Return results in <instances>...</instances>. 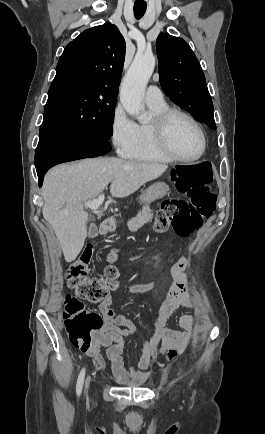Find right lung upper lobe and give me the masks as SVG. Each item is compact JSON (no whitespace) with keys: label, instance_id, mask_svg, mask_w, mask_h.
Instances as JSON below:
<instances>
[{"label":"right lung upper lobe","instance_id":"1","mask_svg":"<svg viewBox=\"0 0 265 434\" xmlns=\"http://www.w3.org/2000/svg\"><path fill=\"white\" fill-rule=\"evenodd\" d=\"M125 49V40L115 25L105 23L87 29L65 47L53 81L91 79L118 90Z\"/></svg>","mask_w":265,"mask_h":434}]
</instances>
